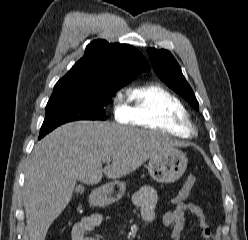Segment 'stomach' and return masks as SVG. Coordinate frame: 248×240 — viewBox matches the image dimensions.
<instances>
[{"mask_svg":"<svg viewBox=\"0 0 248 240\" xmlns=\"http://www.w3.org/2000/svg\"><path fill=\"white\" fill-rule=\"evenodd\" d=\"M187 162V157L182 151L173 149L152 156L148 163V172L159 183H172L183 175ZM125 190V183L109 182L102 188L99 200L103 203H114L122 198Z\"/></svg>","mask_w":248,"mask_h":240,"instance_id":"obj_1","label":"stomach"}]
</instances>
